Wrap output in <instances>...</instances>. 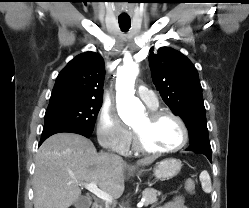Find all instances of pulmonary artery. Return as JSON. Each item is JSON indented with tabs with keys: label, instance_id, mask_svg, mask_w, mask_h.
Masks as SVG:
<instances>
[{
	"label": "pulmonary artery",
	"instance_id": "1",
	"mask_svg": "<svg viewBox=\"0 0 249 208\" xmlns=\"http://www.w3.org/2000/svg\"><path fill=\"white\" fill-rule=\"evenodd\" d=\"M138 97L150 108H156L158 106L156 95L152 90L146 87L138 88Z\"/></svg>",
	"mask_w": 249,
	"mask_h": 208
}]
</instances>
